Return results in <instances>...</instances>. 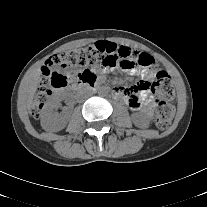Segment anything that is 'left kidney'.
Listing matches in <instances>:
<instances>
[{"instance_id": "obj_1", "label": "left kidney", "mask_w": 207, "mask_h": 207, "mask_svg": "<svg viewBox=\"0 0 207 207\" xmlns=\"http://www.w3.org/2000/svg\"><path fill=\"white\" fill-rule=\"evenodd\" d=\"M132 121H133L134 125L138 128H148L149 127L148 119L140 113H134L132 115Z\"/></svg>"}]
</instances>
